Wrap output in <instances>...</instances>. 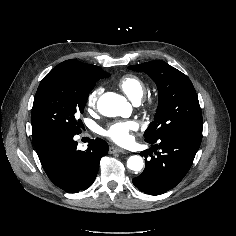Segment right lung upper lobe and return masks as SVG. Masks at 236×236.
Returning <instances> with one entry per match:
<instances>
[{
  "instance_id": "1",
  "label": "right lung upper lobe",
  "mask_w": 236,
  "mask_h": 236,
  "mask_svg": "<svg viewBox=\"0 0 236 236\" xmlns=\"http://www.w3.org/2000/svg\"><path fill=\"white\" fill-rule=\"evenodd\" d=\"M54 69L69 71L75 74L79 79L86 82H96L108 74L101 70L98 66L85 64L76 60L64 61L57 65Z\"/></svg>"
}]
</instances>
